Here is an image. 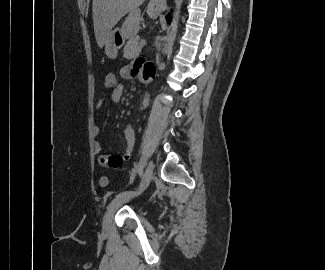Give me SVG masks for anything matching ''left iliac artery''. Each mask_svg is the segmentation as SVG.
I'll list each match as a JSON object with an SVG mask.
<instances>
[{
  "instance_id": "left-iliac-artery-1",
  "label": "left iliac artery",
  "mask_w": 325,
  "mask_h": 270,
  "mask_svg": "<svg viewBox=\"0 0 325 270\" xmlns=\"http://www.w3.org/2000/svg\"><path fill=\"white\" fill-rule=\"evenodd\" d=\"M143 167H144V162L143 160L141 159V161L139 162V165H138V172H139V175L142 177L143 175ZM134 191H123L119 194L116 195V198L120 197V196H123V195H130L132 194Z\"/></svg>"
}]
</instances>
